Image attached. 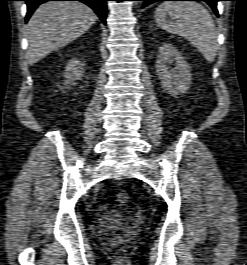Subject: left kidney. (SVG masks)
<instances>
[{
	"instance_id": "1",
	"label": "left kidney",
	"mask_w": 247,
	"mask_h": 265,
	"mask_svg": "<svg viewBox=\"0 0 247 265\" xmlns=\"http://www.w3.org/2000/svg\"><path fill=\"white\" fill-rule=\"evenodd\" d=\"M171 65H174L171 68ZM156 73L161 85L168 93L178 95L185 93L192 80L190 65L183 55L169 43H164L158 51Z\"/></svg>"
}]
</instances>
